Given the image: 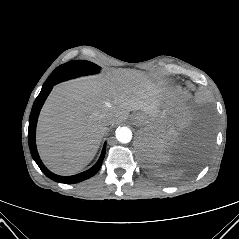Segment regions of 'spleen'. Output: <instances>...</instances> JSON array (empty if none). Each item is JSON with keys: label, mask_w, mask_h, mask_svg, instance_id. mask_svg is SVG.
Returning a JSON list of instances; mask_svg holds the SVG:
<instances>
[{"label": "spleen", "mask_w": 239, "mask_h": 239, "mask_svg": "<svg viewBox=\"0 0 239 239\" xmlns=\"http://www.w3.org/2000/svg\"><path fill=\"white\" fill-rule=\"evenodd\" d=\"M176 135H177V133H176L175 130H170V131H168V133H167L168 139L175 138Z\"/></svg>", "instance_id": "1"}]
</instances>
